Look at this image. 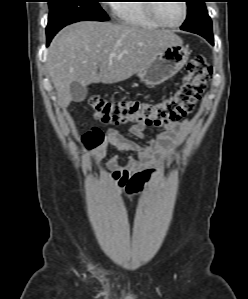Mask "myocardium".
Instances as JSON below:
<instances>
[{"label": "myocardium", "mask_w": 248, "mask_h": 299, "mask_svg": "<svg viewBox=\"0 0 248 299\" xmlns=\"http://www.w3.org/2000/svg\"><path fill=\"white\" fill-rule=\"evenodd\" d=\"M153 2H157V1H153ZM181 3H182V8H183V16H182L181 20L176 24H169L161 18V16L159 15V13L157 11V7H158L159 3H150L148 9H149L151 17L161 26L167 27V28H178L186 21L187 15H188V6H187L186 1L181 0Z\"/></svg>", "instance_id": "myocardium-1"}]
</instances>
